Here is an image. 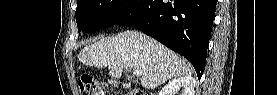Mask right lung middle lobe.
Returning a JSON list of instances; mask_svg holds the SVG:
<instances>
[{"mask_svg": "<svg viewBox=\"0 0 277 95\" xmlns=\"http://www.w3.org/2000/svg\"><path fill=\"white\" fill-rule=\"evenodd\" d=\"M141 0H80L76 8L78 32H95L116 24Z\"/></svg>", "mask_w": 277, "mask_h": 95, "instance_id": "1", "label": "right lung middle lobe"}]
</instances>
